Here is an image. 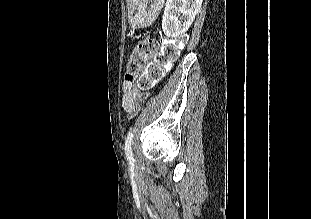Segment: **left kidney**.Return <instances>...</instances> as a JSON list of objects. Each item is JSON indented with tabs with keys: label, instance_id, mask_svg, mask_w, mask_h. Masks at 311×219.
<instances>
[{
	"label": "left kidney",
	"instance_id": "1",
	"mask_svg": "<svg viewBox=\"0 0 311 219\" xmlns=\"http://www.w3.org/2000/svg\"><path fill=\"white\" fill-rule=\"evenodd\" d=\"M203 0H167L162 30L167 37L184 34L195 19Z\"/></svg>",
	"mask_w": 311,
	"mask_h": 219
}]
</instances>
